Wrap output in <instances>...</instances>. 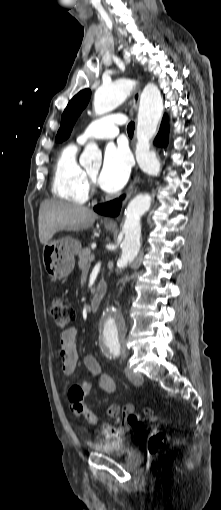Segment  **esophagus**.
Returning <instances> with one entry per match:
<instances>
[{
    "label": "esophagus",
    "mask_w": 221,
    "mask_h": 510,
    "mask_svg": "<svg viewBox=\"0 0 221 510\" xmlns=\"http://www.w3.org/2000/svg\"><path fill=\"white\" fill-rule=\"evenodd\" d=\"M139 98H140V91L137 90L134 95H133V107L135 110H137L138 108V105H139ZM136 191V178H133L131 181H130V184L126 190V193H125V199L122 201V204L124 205L127 200L133 195V193ZM104 222L106 224H109V225H113V226H116L117 225V222L114 218L112 217H107L104 219Z\"/></svg>",
    "instance_id": "1"
}]
</instances>
